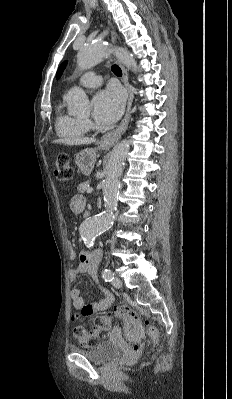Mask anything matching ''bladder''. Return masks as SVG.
Returning <instances> with one entry per match:
<instances>
[{
  "mask_svg": "<svg viewBox=\"0 0 232 399\" xmlns=\"http://www.w3.org/2000/svg\"><path fill=\"white\" fill-rule=\"evenodd\" d=\"M71 350L75 353L86 356L95 363H105L121 354L120 347L112 341H102L96 346L88 349L71 346Z\"/></svg>",
  "mask_w": 232,
  "mask_h": 399,
  "instance_id": "bladder-1",
  "label": "bladder"
}]
</instances>
